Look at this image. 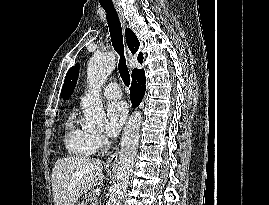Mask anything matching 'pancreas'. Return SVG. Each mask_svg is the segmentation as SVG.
<instances>
[{
	"instance_id": "cf45deb5",
	"label": "pancreas",
	"mask_w": 269,
	"mask_h": 205,
	"mask_svg": "<svg viewBox=\"0 0 269 205\" xmlns=\"http://www.w3.org/2000/svg\"><path fill=\"white\" fill-rule=\"evenodd\" d=\"M86 202H89L90 205H97V201H98V197L96 195V190H91L88 194V196H86L85 199Z\"/></svg>"
}]
</instances>
